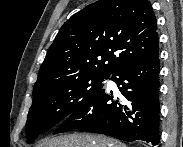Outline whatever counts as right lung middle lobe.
Masks as SVG:
<instances>
[{
    "mask_svg": "<svg viewBox=\"0 0 183 147\" xmlns=\"http://www.w3.org/2000/svg\"><path fill=\"white\" fill-rule=\"evenodd\" d=\"M109 77L83 76L33 90V102L26 122L29 142L59 124L95 93Z\"/></svg>",
    "mask_w": 183,
    "mask_h": 147,
    "instance_id": "right-lung-middle-lobe-1",
    "label": "right lung middle lobe"
}]
</instances>
